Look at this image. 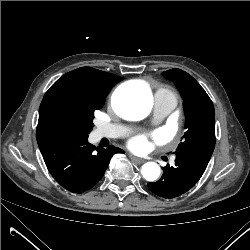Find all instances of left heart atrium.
Returning a JSON list of instances; mask_svg holds the SVG:
<instances>
[{"mask_svg": "<svg viewBox=\"0 0 250 250\" xmlns=\"http://www.w3.org/2000/svg\"><path fill=\"white\" fill-rule=\"evenodd\" d=\"M152 138L160 141V134L155 133L152 135ZM129 147L135 152H143L149 147V137L146 135L136 136L129 141Z\"/></svg>", "mask_w": 250, "mask_h": 250, "instance_id": "obj_1", "label": "left heart atrium"}]
</instances>
